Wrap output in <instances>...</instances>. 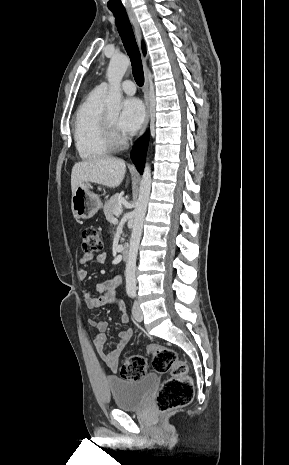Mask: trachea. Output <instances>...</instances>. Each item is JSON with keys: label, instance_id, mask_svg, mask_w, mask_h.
<instances>
[{"label": "trachea", "instance_id": "obj_1", "mask_svg": "<svg viewBox=\"0 0 289 465\" xmlns=\"http://www.w3.org/2000/svg\"><path fill=\"white\" fill-rule=\"evenodd\" d=\"M111 11L114 14L116 26L123 45L130 57L134 79L137 85L141 87L144 84L142 61L128 15L125 9Z\"/></svg>", "mask_w": 289, "mask_h": 465}]
</instances>
